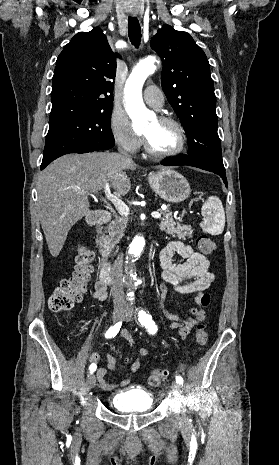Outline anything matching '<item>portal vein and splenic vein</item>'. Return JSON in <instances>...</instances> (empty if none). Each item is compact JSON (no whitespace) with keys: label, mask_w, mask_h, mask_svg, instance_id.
Here are the masks:
<instances>
[{"label":"portal vein and splenic vein","mask_w":279,"mask_h":465,"mask_svg":"<svg viewBox=\"0 0 279 465\" xmlns=\"http://www.w3.org/2000/svg\"><path fill=\"white\" fill-rule=\"evenodd\" d=\"M105 197L115 206L118 213L122 216L127 217L129 215V208L128 206L120 200L117 196L113 195L110 191L109 183H106L104 186ZM152 217L159 219L161 218V214L159 212H152Z\"/></svg>","instance_id":"portal-vein-and-splenic-vein-1"}]
</instances>
